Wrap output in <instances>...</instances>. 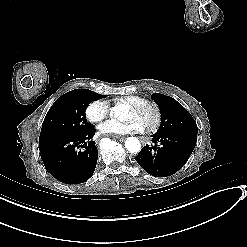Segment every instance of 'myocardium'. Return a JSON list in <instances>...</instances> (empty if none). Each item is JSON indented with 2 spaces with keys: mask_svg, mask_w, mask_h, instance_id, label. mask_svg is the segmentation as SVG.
Masks as SVG:
<instances>
[{
  "mask_svg": "<svg viewBox=\"0 0 247 247\" xmlns=\"http://www.w3.org/2000/svg\"><path fill=\"white\" fill-rule=\"evenodd\" d=\"M127 107L136 113L141 112L142 110H144L147 107L151 108L154 112V122H153L151 128L146 132L144 131V133L146 135H152L158 131V129L161 125L162 112H161V108H160L159 104L156 101L144 100V101L140 102L139 104L128 105Z\"/></svg>",
  "mask_w": 247,
  "mask_h": 247,
  "instance_id": "myocardium-1",
  "label": "myocardium"
}]
</instances>
